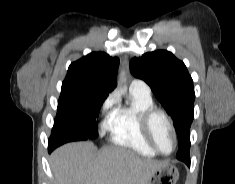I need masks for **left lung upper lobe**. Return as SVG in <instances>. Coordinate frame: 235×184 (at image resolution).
Returning a JSON list of instances; mask_svg holds the SVG:
<instances>
[{
    "label": "left lung upper lobe",
    "instance_id": "left-lung-upper-lobe-1",
    "mask_svg": "<svg viewBox=\"0 0 235 184\" xmlns=\"http://www.w3.org/2000/svg\"><path fill=\"white\" fill-rule=\"evenodd\" d=\"M131 74L144 80L164 109L172 117L179 137L177 159L190 160V127L193 121L195 93L193 80L185 64L171 52L157 50L130 61Z\"/></svg>",
    "mask_w": 235,
    "mask_h": 184
}]
</instances>
